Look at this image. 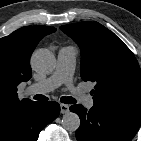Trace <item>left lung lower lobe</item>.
I'll return each instance as SVG.
<instances>
[{
	"label": "left lung lower lobe",
	"instance_id": "1",
	"mask_svg": "<svg viewBox=\"0 0 141 141\" xmlns=\"http://www.w3.org/2000/svg\"><path fill=\"white\" fill-rule=\"evenodd\" d=\"M70 110L78 114L81 121L76 130L77 141H131L141 124V119L95 105L90 110L73 105Z\"/></svg>",
	"mask_w": 141,
	"mask_h": 141
}]
</instances>
